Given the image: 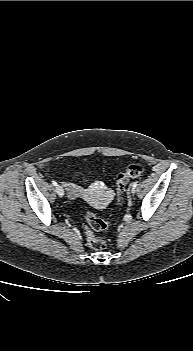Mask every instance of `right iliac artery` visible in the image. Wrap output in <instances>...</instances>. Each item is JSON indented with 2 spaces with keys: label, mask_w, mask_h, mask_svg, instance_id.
Listing matches in <instances>:
<instances>
[{
  "label": "right iliac artery",
  "mask_w": 193,
  "mask_h": 351,
  "mask_svg": "<svg viewBox=\"0 0 193 351\" xmlns=\"http://www.w3.org/2000/svg\"><path fill=\"white\" fill-rule=\"evenodd\" d=\"M52 184H53L54 186H57V182H56V181H52Z\"/></svg>",
  "instance_id": "1"
}]
</instances>
